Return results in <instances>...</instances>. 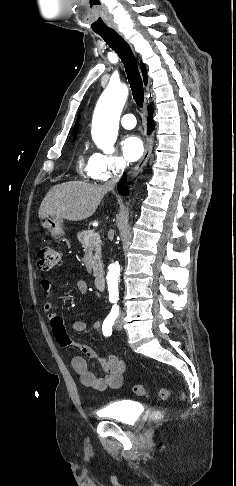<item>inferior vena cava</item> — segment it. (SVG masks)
<instances>
[{
    "mask_svg": "<svg viewBox=\"0 0 236 486\" xmlns=\"http://www.w3.org/2000/svg\"><path fill=\"white\" fill-rule=\"evenodd\" d=\"M126 166V162L124 160H120L119 163L117 164V167H116V173L114 175V177L109 180L108 182H106L104 184V187L108 190H113L119 177H120V174L123 172L124 168Z\"/></svg>",
    "mask_w": 236,
    "mask_h": 486,
    "instance_id": "obj_1",
    "label": "inferior vena cava"
}]
</instances>
